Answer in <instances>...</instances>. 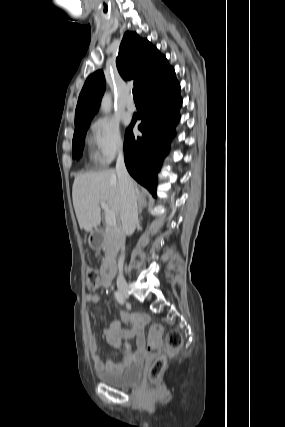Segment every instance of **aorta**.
<instances>
[{
  "label": "aorta",
  "mask_w": 285,
  "mask_h": 427,
  "mask_svg": "<svg viewBox=\"0 0 285 427\" xmlns=\"http://www.w3.org/2000/svg\"><path fill=\"white\" fill-rule=\"evenodd\" d=\"M112 108V99H111V95L109 93H106L103 98H102V102H101V111L104 114H108L110 113Z\"/></svg>",
  "instance_id": "aorta-1"
}]
</instances>
